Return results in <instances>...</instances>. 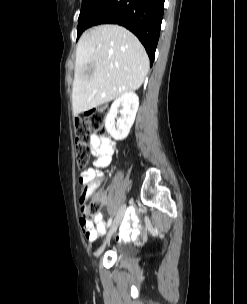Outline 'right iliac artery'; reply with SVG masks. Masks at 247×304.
I'll list each match as a JSON object with an SVG mask.
<instances>
[{
  "label": "right iliac artery",
  "instance_id": "82829eb1",
  "mask_svg": "<svg viewBox=\"0 0 247 304\" xmlns=\"http://www.w3.org/2000/svg\"><path fill=\"white\" fill-rule=\"evenodd\" d=\"M112 223V218H109L108 222H107V227H110Z\"/></svg>",
  "mask_w": 247,
  "mask_h": 304
}]
</instances>
